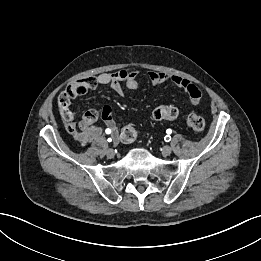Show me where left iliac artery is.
Listing matches in <instances>:
<instances>
[{
	"mask_svg": "<svg viewBox=\"0 0 261 261\" xmlns=\"http://www.w3.org/2000/svg\"><path fill=\"white\" fill-rule=\"evenodd\" d=\"M166 133H167V134H171V133H172V130H171V129H167V130H166ZM164 140H165L166 142H169V141L171 140V136H170V135L165 136Z\"/></svg>",
	"mask_w": 261,
	"mask_h": 261,
	"instance_id": "44dca946",
	"label": "left iliac artery"
}]
</instances>
